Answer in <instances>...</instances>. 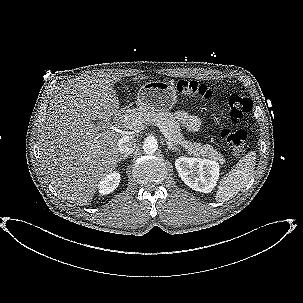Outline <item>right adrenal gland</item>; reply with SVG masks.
Segmentation results:
<instances>
[{"label": "right adrenal gland", "mask_w": 303, "mask_h": 303, "mask_svg": "<svg viewBox=\"0 0 303 303\" xmlns=\"http://www.w3.org/2000/svg\"><path fill=\"white\" fill-rule=\"evenodd\" d=\"M128 156H129V154L121 155V156L119 157L118 162L120 163V161H121L122 159H126V158H128Z\"/></svg>", "instance_id": "right-adrenal-gland-1"}]
</instances>
